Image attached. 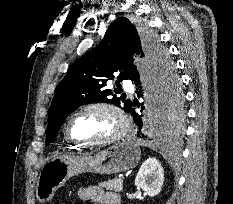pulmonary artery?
<instances>
[{"mask_svg":"<svg viewBox=\"0 0 233 204\" xmlns=\"http://www.w3.org/2000/svg\"><path fill=\"white\" fill-rule=\"evenodd\" d=\"M123 87L128 91H132V89H133V86L129 80H125L123 82Z\"/></svg>","mask_w":233,"mask_h":204,"instance_id":"obj_1","label":"pulmonary artery"}]
</instances>
